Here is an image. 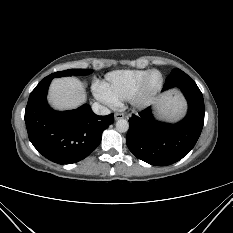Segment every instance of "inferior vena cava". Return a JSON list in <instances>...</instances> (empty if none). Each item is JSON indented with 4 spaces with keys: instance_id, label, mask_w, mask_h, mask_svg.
<instances>
[{
    "instance_id": "602c4592",
    "label": "inferior vena cava",
    "mask_w": 233,
    "mask_h": 233,
    "mask_svg": "<svg viewBox=\"0 0 233 233\" xmlns=\"http://www.w3.org/2000/svg\"><path fill=\"white\" fill-rule=\"evenodd\" d=\"M92 110L97 115H108L110 114V109L106 106L99 104L98 102L93 103Z\"/></svg>"
}]
</instances>
